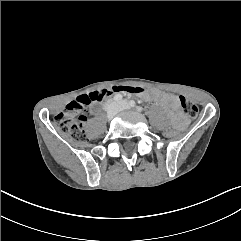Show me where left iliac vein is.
<instances>
[{
  "instance_id": "left-iliac-vein-1",
  "label": "left iliac vein",
  "mask_w": 241,
  "mask_h": 241,
  "mask_svg": "<svg viewBox=\"0 0 241 241\" xmlns=\"http://www.w3.org/2000/svg\"><path fill=\"white\" fill-rule=\"evenodd\" d=\"M119 105H120V107H121L122 110H123V109H129V108H130L129 104H128L126 101H121V102L119 103Z\"/></svg>"
}]
</instances>
